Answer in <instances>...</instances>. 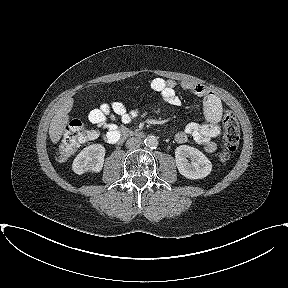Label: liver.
<instances>
[{
	"label": "liver",
	"mask_w": 288,
	"mask_h": 288,
	"mask_svg": "<svg viewBox=\"0 0 288 288\" xmlns=\"http://www.w3.org/2000/svg\"><path fill=\"white\" fill-rule=\"evenodd\" d=\"M73 107V99H67L63 105L57 110L53 116L50 127H49V136L51 141L56 144L62 137L65 127L69 122V112Z\"/></svg>",
	"instance_id": "obj_1"
}]
</instances>
